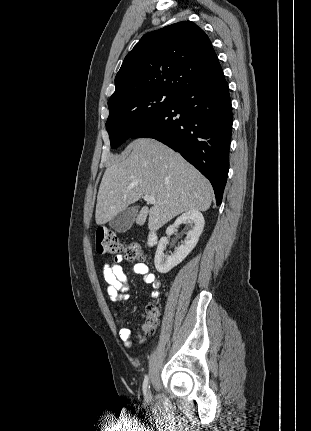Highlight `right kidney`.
<instances>
[{
	"instance_id": "ca27d5eb",
	"label": "right kidney",
	"mask_w": 311,
	"mask_h": 431,
	"mask_svg": "<svg viewBox=\"0 0 311 431\" xmlns=\"http://www.w3.org/2000/svg\"><path fill=\"white\" fill-rule=\"evenodd\" d=\"M180 223H189L191 229L188 231L183 243H181L179 247H175L174 253H171V255H165L164 253V249H166L168 243V237H161L158 243L154 263L157 271H160V273H167V271H170L172 267L178 265V263L183 261L186 255L192 251L199 239V235H201L203 231L205 219L199 210H189V212H185L182 216L177 217L173 225L167 227V235H172L175 227H178Z\"/></svg>"
}]
</instances>
